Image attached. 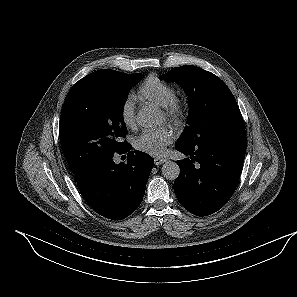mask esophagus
I'll return each instance as SVG.
<instances>
[{
  "instance_id": "34e87169",
  "label": "esophagus",
  "mask_w": 297,
  "mask_h": 297,
  "mask_svg": "<svg viewBox=\"0 0 297 297\" xmlns=\"http://www.w3.org/2000/svg\"><path fill=\"white\" fill-rule=\"evenodd\" d=\"M165 161H166V159H164V158H160V157H156V158H154V163H155V165H161V164H163Z\"/></svg>"
}]
</instances>
